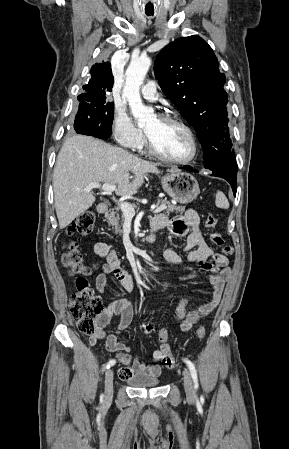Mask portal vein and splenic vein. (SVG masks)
<instances>
[{
	"label": "portal vein and splenic vein",
	"mask_w": 289,
	"mask_h": 449,
	"mask_svg": "<svg viewBox=\"0 0 289 449\" xmlns=\"http://www.w3.org/2000/svg\"><path fill=\"white\" fill-rule=\"evenodd\" d=\"M94 188H99L101 190L104 191L105 194H110L111 192L116 190V186L112 185V184H108V183H104L103 185H101L100 183H91L89 184L86 188H84V191H91ZM115 202H117V200L113 197L112 198ZM119 208L121 209V211L123 212V215L127 218H133L135 215V210L134 208L128 204L127 202H121L118 203ZM166 209V205H161L159 207H155L152 206L151 210L153 211V213H159L163 210Z\"/></svg>",
	"instance_id": "18ae733b"
}]
</instances>
